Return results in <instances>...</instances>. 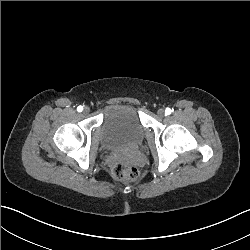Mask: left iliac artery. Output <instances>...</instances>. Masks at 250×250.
Wrapping results in <instances>:
<instances>
[{"label": "left iliac artery", "instance_id": "obj_1", "mask_svg": "<svg viewBox=\"0 0 250 250\" xmlns=\"http://www.w3.org/2000/svg\"><path fill=\"white\" fill-rule=\"evenodd\" d=\"M171 112H172V110L170 108H166V110H165L166 115H170Z\"/></svg>", "mask_w": 250, "mask_h": 250}]
</instances>
